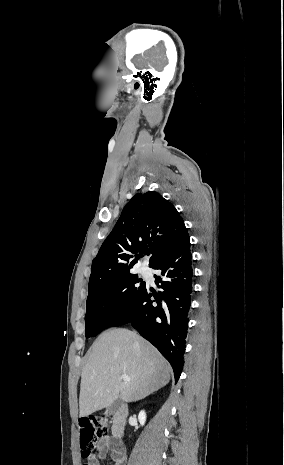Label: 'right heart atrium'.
<instances>
[{"instance_id":"obj_1","label":"right heart atrium","mask_w":284,"mask_h":465,"mask_svg":"<svg viewBox=\"0 0 284 465\" xmlns=\"http://www.w3.org/2000/svg\"><path fill=\"white\" fill-rule=\"evenodd\" d=\"M110 309L113 311V312H118L120 311L121 309V304L119 301H112L111 304H110Z\"/></svg>"}]
</instances>
